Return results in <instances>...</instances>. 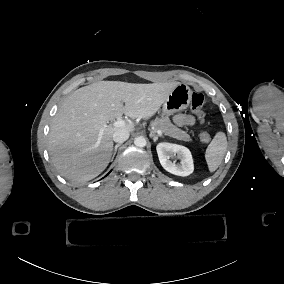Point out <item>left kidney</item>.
<instances>
[{
    "instance_id": "left-kidney-1",
    "label": "left kidney",
    "mask_w": 284,
    "mask_h": 284,
    "mask_svg": "<svg viewBox=\"0 0 284 284\" xmlns=\"http://www.w3.org/2000/svg\"><path fill=\"white\" fill-rule=\"evenodd\" d=\"M157 153L162 167L169 173L179 176H187L192 173V156L186 147L171 143H159ZM175 156L180 160L179 164L172 161Z\"/></svg>"
}]
</instances>
